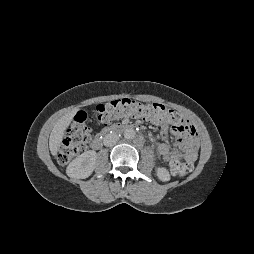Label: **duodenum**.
I'll list each match as a JSON object with an SVG mask.
<instances>
[{
	"mask_svg": "<svg viewBox=\"0 0 254 254\" xmlns=\"http://www.w3.org/2000/svg\"><path fill=\"white\" fill-rule=\"evenodd\" d=\"M135 128L136 127L134 125L115 124L112 127L103 130L101 134L97 135L92 142V147L96 150L99 149L102 146V136L109 132L116 133L124 130H134Z\"/></svg>",
	"mask_w": 254,
	"mask_h": 254,
	"instance_id": "410a0bca",
	"label": "duodenum"
}]
</instances>
